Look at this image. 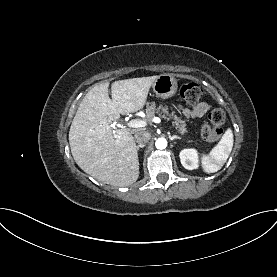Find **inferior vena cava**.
<instances>
[{"mask_svg": "<svg viewBox=\"0 0 277 277\" xmlns=\"http://www.w3.org/2000/svg\"><path fill=\"white\" fill-rule=\"evenodd\" d=\"M134 137L139 145H144L150 140L151 134L149 132L139 131L134 135Z\"/></svg>", "mask_w": 277, "mask_h": 277, "instance_id": "1", "label": "inferior vena cava"}]
</instances>
